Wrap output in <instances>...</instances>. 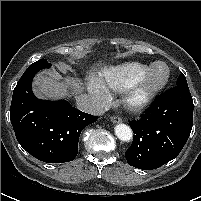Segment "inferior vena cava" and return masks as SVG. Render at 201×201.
Masks as SVG:
<instances>
[{
    "instance_id": "inferior-vena-cava-1",
    "label": "inferior vena cava",
    "mask_w": 201,
    "mask_h": 201,
    "mask_svg": "<svg viewBox=\"0 0 201 201\" xmlns=\"http://www.w3.org/2000/svg\"><path fill=\"white\" fill-rule=\"evenodd\" d=\"M76 105L79 110L89 114L100 116L105 113L104 108L98 101L85 94H81L76 98Z\"/></svg>"
}]
</instances>
